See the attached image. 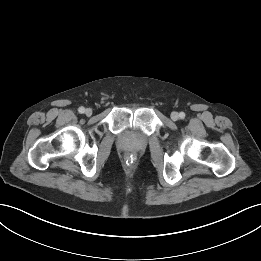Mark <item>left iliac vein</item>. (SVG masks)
Returning a JSON list of instances; mask_svg holds the SVG:
<instances>
[{"mask_svg":"<svg viewBox=\"0 0 261 261\" xmlns=\"http://www.w3.org/2000/svg\"><path fill=\"white\" fill-rule=\"evenodd\" d=\"M171 119L173 121H177L179 119V114L177 112H172L171 113Z\"/></svg>","mask_w":261,"mask_h":261,"instance_id":"1","label":"left iliac vein"}]
</instances>
